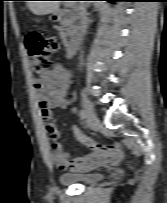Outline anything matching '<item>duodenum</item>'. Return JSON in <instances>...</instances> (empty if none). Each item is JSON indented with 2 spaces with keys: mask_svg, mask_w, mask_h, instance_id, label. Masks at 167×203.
Returning a JSON list of instances; mask_svg holds the SVG:
<instances>
[{
  "mask_svg": "<svg viewBox=\"0 0 167 203\" xmlns=\"http://www.w3.org/2000/svg\"><path fill=\"white\" fill-rule=\"evenodd\" d=\"M73 19V16L70 15L68 11L57 10L53 14V21H70ZM76 53V40L70 39L66 45V55L68 58H72Z\"/></svg>",
  "mask_w": 167,
  "mask_h": 203,
  "instance_id": "1",
  "label": "duodenum"
}]
</instances>
